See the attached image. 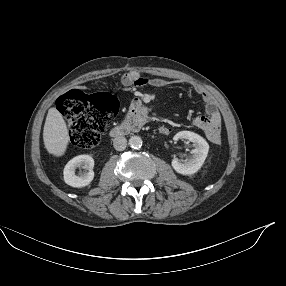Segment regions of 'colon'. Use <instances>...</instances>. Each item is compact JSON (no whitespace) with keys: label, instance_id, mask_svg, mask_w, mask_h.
I'll list each match as a JSON object with an SVG mask.
<instances>
[{"label":"colon","instance_id":"1","mask_svg":"<svg viewBox=\"0 0 286 286\" xmlns=\"http://www.w3.org/2000/svg\"><path fill=\"white\" fill-rule=\"evenodd\" d=\"M118 108L116 97L107 93L86 95L69 90L57 100V109L69 127L70 142L79 149L97 145ZM201 136L205 142L214 144L220 140L222 131L218 125L209 123L203 127Z\"/></svg>","mask_w":286,"mask_h":286}]
</instances>
